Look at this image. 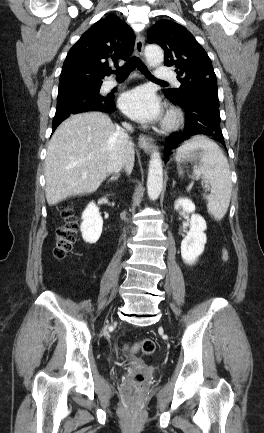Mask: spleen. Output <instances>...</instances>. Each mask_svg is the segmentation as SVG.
<instances>
[{
  "mask_svg": "<svg viewBox=\"0 0 264 433\" xmlns=\"http://www.w3.org/2000/svg\"><path fill=\"white\" fill-rule=\"evenodd\" d=\"M186 159H198L199 165L194 167V172L200 173L203 181L211 187V193L204 195L208 200V212L216 220H221L228 210L232 192L231 172L223 151L211 139L195 136L177 149L178 164ZM178 172L183 174L180 167Z\"/></svg>",
  "mask_w": 264,
  "mask_h": 433,
  "instance_id": "1",
  "label": "spleen"
}]
</instances>
